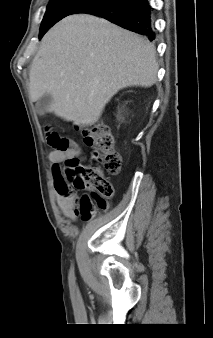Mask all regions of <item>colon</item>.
I'll return each instance as SVG.
<instances>
[{
  "label": "colon",
  "mask_w": 213,
  "mask_h": 338,
  "mask_svg": "<svg viewBox=\"0 0 213 338\" xmlns=\"http://www.w3.org/2000/svg\"><path fill=\"white\" fill-rule=\"evenodd\" d=\"M84 141L94 150V158L100 165L83 166L77 157L65 159L63 165L53 167L54 185L58 191L64 188L75 190H88L90 200H96V206L92 203L83 210V217L90 219L95 214L105 211L107 203L105 199L114 196L115 190L108 175H117L121 166V156L116 151L114 139L102 123L82 128ZM69 147V140L61 138L57 149L65 151Z\"/></svg>",
  "instance_id": "1"
}]
</instances>
